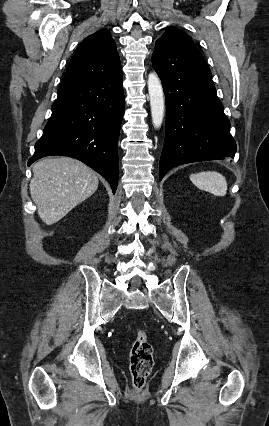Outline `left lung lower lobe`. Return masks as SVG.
<instances>
[{"label":"left lung lower lobe","mask_w":269,"mask_h":426,"mask_svg":"<svg viewBox=\"0 0 269 426\" xmlns=\"http://www.w3.org/2000/svg\"><path fill=\"white\" fill-rule=\"evenodd\" d=\"M152 64L162 81L166 102L159 179L178 165L233 158L236 143L230 122L202 54L156 42Z\"/></svg>","instance_id":"1"}]
</instances>
